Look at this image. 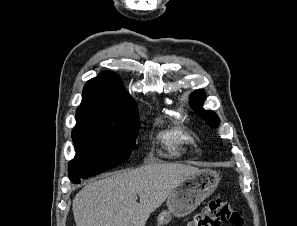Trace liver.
Here are the masks:
<instances>
[{
    "label": "liver",
    "instance_id": "obj_1",
    "mask_svg": "<svg viewBox=\"0 0 297 226\" xmlns=\"http://www.w3.org/2000/svg\"><path fill=\"white\" fill-rule=\"evenodd\" d=\"M198 171L179 163H150L89 182L73 200L76 226H145L175 186Z\"/></svg>",
    "mask_w": 297,
    "mask_h": 226
}]
</instances>
